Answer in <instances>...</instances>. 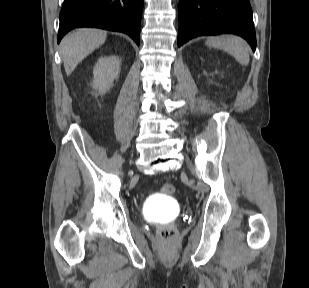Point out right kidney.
Listing matches in <instances>:
<instances>
[{
    "label": "right kidney",
    "mask_w": 309,
    "mask_h": 288,
    "mask_svg": "<svg viewBox=\"0 0 309 288\" xmlns=\"http://www.w3.org/2000/svg\"><path fill=\"white\" fill-rule=\"evenodd\" d=\"M119 73L120 61L116 56L101 57L93 68V89L101 94L106 93L113 86V81Z\"/></svg>",
    "instance_id": "1"
}]
</instances>
